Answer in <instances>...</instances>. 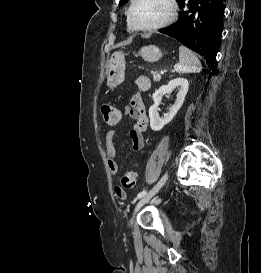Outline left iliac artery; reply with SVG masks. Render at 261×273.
Segmentation results:
<instances>
[{"label":"left iliac artery","instance_id":"left-iliac-artery-1","mask_svg":"<svg viewBox=\"0 0 261 273\" xmlns=\"http://www.w3.org/2000/svg\"><path fill=\"white\" fill-rule=\"evenodd\" d=\"M162 186V179L156 184V186L153 188L155 189L156 191H158ZM147 192L144 190V191H141L138 195H137V198H141L143 197L144 195H146Z\"/></svg>","mask_w":261,"mask_h":273}]
</instances>
